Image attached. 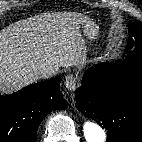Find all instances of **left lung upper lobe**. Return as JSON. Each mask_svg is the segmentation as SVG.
<instances>
[{
  "label": "left lung upper lobe",
  "mask_w": 142,
  "mask_h": 142,
  "mask_svg": "<svg viewBox=\"0 0 142 142\" xmlns=\"http://www.w3.org/2000/svg\"><path fill=\"white\" fill-rule=\"evenodd\" d=\"M129 35L130 38L125 52L134 46L135 49L131 52L130 56L135 55L142 57V23L140 21L130 23Z\"/></svg>",
  "instance_id": "1"
}]
</instances>
